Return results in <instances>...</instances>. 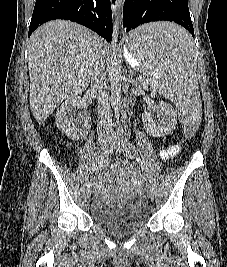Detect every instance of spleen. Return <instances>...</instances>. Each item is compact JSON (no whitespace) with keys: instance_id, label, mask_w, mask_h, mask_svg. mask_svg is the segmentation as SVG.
Masks as SVG:
<instances>
[{"instance_id":"1","label":"spleen","mask_w":227,"mask_h":267,"mask_svg":"<svg viewBox=\"0 0 227 267\" xmlns=\"http://www.w3.org/2000/svg\"><path fill=\"white\" fill-rule=\"evenodd\" d=\"M125 47L136 63H141L143 77L161 81L164 94L175 102L181 115H201L197 82V60L194 43L181 22L155 19L140 23L126 32ZM189 121H202V116H189Z\"/></svg>"}]
</instances>
